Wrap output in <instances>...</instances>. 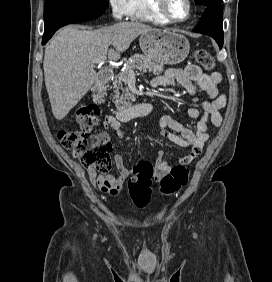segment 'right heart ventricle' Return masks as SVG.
<instances>
[{
    "instance_id": "obj_1",
    "label": "right heart ventricle",
    "mask_w": 272,
    "mask_h": 282,
    "mask_svg": "<svg viewBox=\"0 0 272 282\" xmlns=\"http://www.w3.org/2000/svg\"><path fill=\"white\" fill-rule=\"evenodd\" d=\"M155 0H133L134 13L132 19H139L154 24H169L166 19L155 7Z\"/></svg>"
}]
</instances>
